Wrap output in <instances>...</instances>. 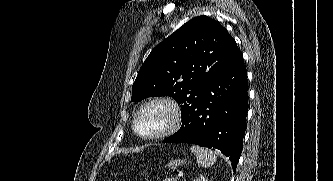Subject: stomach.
Wrapping results in <instances>:
<instances>
[{
    "mask_svg": "<svg viewBox=\"0 0 333 181\" xmlns=\"http://www.w3.org/2000/svg\"><path fill=\"white\" fill-rule=\"evenodd\" d=\"M183 163H184L183 160H180V159H173V160H170V161L167 163L166 167L172 169V168H176L177 166H179L180 164H183Z\"/></svg>",
    "mask_w": 333,
    "mask_h": 181,
    "instance_id": "stomach-1",
    "label": "stomach"
}]
</instances>
